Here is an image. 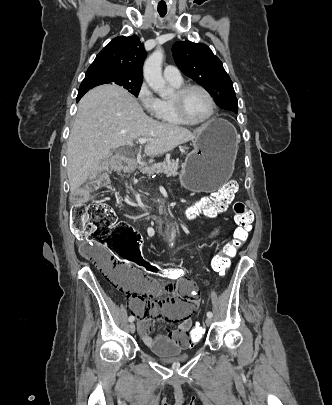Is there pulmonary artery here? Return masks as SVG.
Wrapping results in <instances>:
<instances>
[{
  "mask_svg": "<svg viewBox=\"0 0 332 405\" xmlns=\"http://www.w3.org/2000/svg\"><path fill=\"white\" fill-rule=\"evenodd\" d=\"M163 75L168 82L182 83V76L178 68L175 66H166Z\"/></svg>",
  "mask_w": 332,
  "mask_h": 405,
  "instance_id": "pulmonary-artery-1",
  "label": "pulmonary artery"
}]
</instances>
